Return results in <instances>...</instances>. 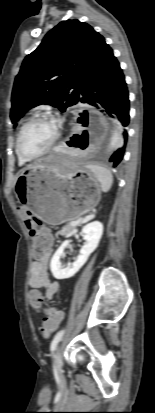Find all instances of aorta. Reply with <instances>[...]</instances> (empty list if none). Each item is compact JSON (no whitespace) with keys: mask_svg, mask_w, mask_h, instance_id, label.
<instances>
[{"mask_svg":"<svg viewBox=\"0 0 155 413\" xmlns=\"http://www.w3.org/2000/svg\"><path fill=\"white\" fill-rule=\"evenodd\" d=\"M122 140V134L119 127H115L110 138L109 147L111 149L117 147Z\"/></svg>","mask_w":155,"mask_h":413,"instance_id":"1","label":"aorta"}]
</instances>
